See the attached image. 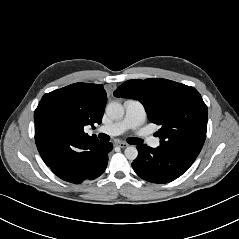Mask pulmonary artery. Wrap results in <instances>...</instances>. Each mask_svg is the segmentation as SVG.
Listing matches in <instances>:
<instances>
[{
  "label": "pulmonary artery",
  "instance_id": "pulmonary-artery-1",
  "mask_svg": "<svg viewBox=\"0 0 239 239\" xmlns=\"http://www.w3.org/2000/svg\"><path fill=\"white\" fill-rule=\"evenodd\" d=\"M124 109L125 115L120 121L102 126L98 131L110 136H116L128 129H137L144 123L146 112L144 106L139 101L133 99L126 100L124 102ZM146 141L153 148L158 147L160 144L159 139L153 136H148Z\"/></svg>",
  "mask_w": 239,
  "mask_h": 239
}]
</instances>
